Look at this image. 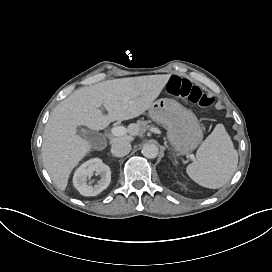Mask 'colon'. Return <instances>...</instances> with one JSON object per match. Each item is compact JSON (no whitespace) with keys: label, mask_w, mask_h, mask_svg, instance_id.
Masks as SVG:
<instances>
[{"label":"colon","mask_w":272,"mask_h":272,"mask_svg":"<svg viewBox=\"0 0 272 272\" xmlns=\"http://www.w3.org/2000/svg\"><path fill=\"white\" fill-rule=\"evenodd\" d=\"M168 86L171 94L183 102L195 104L203 109H209L215 103L212 95L186 78L172 76Z\"/></svg>","instance_id":"obj_1"}]
</instances>
